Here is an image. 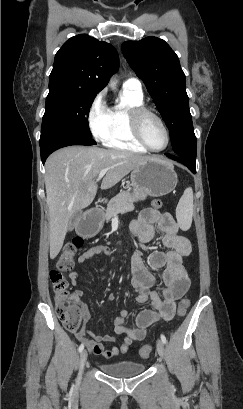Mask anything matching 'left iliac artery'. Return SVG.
I'll return each mask as SVG.
<instances>
[{
    "instance_id": "1",
    "label": "left iliac artery",
    "mask_w": 243,
    "mask_h": 409,
    "mask_svg": "<svg viewBox=\"0 0 243 409\" xmlns=\"http://www.w3.org/2000/svg\"><path fill=\"white\" fill-rule=\"evenodd\" d=\"M160 337H161L162 342H163L164 344H166V343H167V340H166L165 335L161 334Z\"/></svg>"
}]
</instances>
